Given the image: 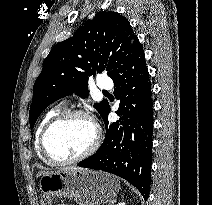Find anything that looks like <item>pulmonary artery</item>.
<instances>
[{
	"mask_svg": "<svg viewBox=\"0 0 212 205\" xmlns=\"http://www.w3.org/2000/svg\"><path fill=\"white\" fill-rule=\"evenodd\" d=\"M98 87L101 90L107 91V90H110L113 88V82L111 79H109L107 77H102L98 81Z\"/></svg>",
	"mask_w": 212,
	"mask_h": 205,
	"instance_id": "1",
	"label": "pulmonary artery"
}]
</instances>
